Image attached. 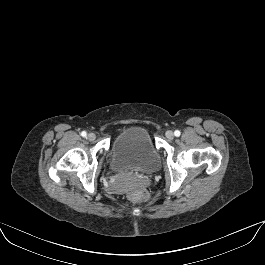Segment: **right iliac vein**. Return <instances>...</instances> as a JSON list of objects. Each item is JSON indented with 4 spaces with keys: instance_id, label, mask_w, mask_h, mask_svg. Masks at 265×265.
I'll use <instances>...</instances> for the list:
<instances>
[{
    "instance_id": "63e3f726",
    "label": "right iliac vein",
    "mask_w": 265,
    "mask_h": 265,
    "mask_svg": "<svg viewBox=\"0 0 265 265\" xmlns=\"http://www.w3.org/2000/svg\"><path fill=\"white\" fill-rule=\"evenodd\" d=\"M95 138H96V135H95L94 133H89V134L87 135V139H88L89 141H94Z\"/></svg>"
}]
</instances>
